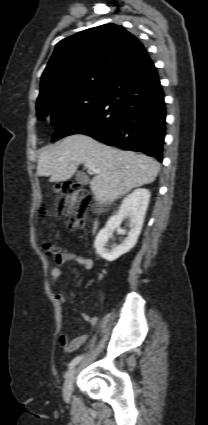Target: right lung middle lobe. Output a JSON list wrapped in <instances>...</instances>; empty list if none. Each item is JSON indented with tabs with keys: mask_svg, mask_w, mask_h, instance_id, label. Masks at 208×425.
Segmentation results:
<instances>
[{
	"mask_svg": "<svg viewBox=\"0 0 208 425\" xmlns=\"http://www.w3.org/2000/svg\"><path fill=\"white\" fill-rule=\"evenodd\" d=\"M106 95L104 89H82L55 98L37 102V117L49 118L53 124H59L64 118L77 115L102 101Z\"/></svg>",
	"mask_w": 208,
	"mask_h": 425,
	"instance_id": "dd1d6c3e",
	"label": "right lung middle lobe"
}]
</instances>
